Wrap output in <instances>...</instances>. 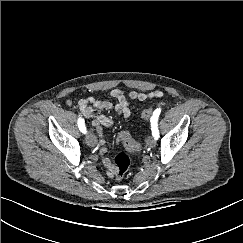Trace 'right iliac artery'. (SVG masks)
<instances>
[{
	"label": "right iliac artery",
	"instance_id": "1",
	"mask_svg": "<svg viewBox=\"0 0 243 243\" xmlns=\"http://www.w3.org/2000/svg\"><path fill=\"white\" fill-rule=\"evenodd\" d=\"M78 127L82 133H86V127H85L84 119H82V117L78 118Z\"/></svg>",
	"mask_w": 243,
	"mask_h": 243
}]
</instances>
